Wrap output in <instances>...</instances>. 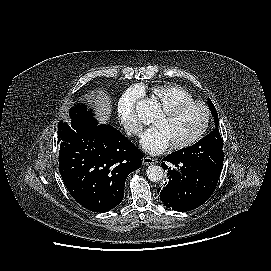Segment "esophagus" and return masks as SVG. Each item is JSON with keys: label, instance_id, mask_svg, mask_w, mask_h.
<instances>
[{"label": "esophagus", "instance_id": "34e87169", "mask_svg": "<svg viewBox=\"0 0 271 271\" xmlns=\"http://www.w3.org/2000/svg\"><path fill=\"white\" fill-rule=\"evenodd\" d=\"M142 161H143V164H144V165H147V166L153 165V164H157V163H158V160H157V159L151 158V157H148V156L144 157V158L142 159Z\"/></svg>", "mask_w": 271, "mask_h": 271}]
</instances>
